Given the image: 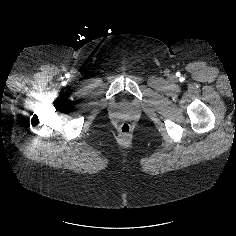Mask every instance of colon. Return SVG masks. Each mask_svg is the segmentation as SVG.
Listing matches in <instances>:
<instances>
[{
	"instance_id": "5ec220e1",
	"label": "colon",
	"mask_w": 236,
	"mask_h": 236,
	"mask_svg": "<svg viewBox=\"0 0 236 236\" xmlns=\"http://www.w3.org/2000/svg\"><path fill=\"white\" fill-rule=\"evenodd\" d=\"M132 126L129 122H122L119 124V132L122 136L126 137L131 133Z\"/></svg>"
}]
</instances>
